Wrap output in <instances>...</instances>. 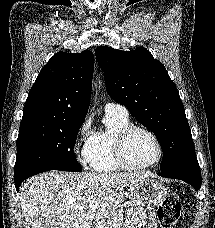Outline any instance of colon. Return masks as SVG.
I'll return each instance as SVG.
<instances>
[{
  "label": "colon",
  "mask_w": 215,
  "mask_h": 228,
  "mask_svg": "<svg viewBox=\"0 0 215 228\" xmlns=\"http://www.w3.org/2000/svg\"><path fill=\"white\" fill-rule=\"evenodd\" d=\"M181 213V204L176 197H168L158 208L160 228H175Z\"/></svg>",
  "instance_id": "obj_1"
}]
</instances>
